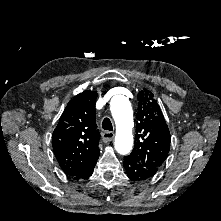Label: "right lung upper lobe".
Instances as JSON below:
<instances>
[{
  "label": "right lung upper lobe",
  "mask_w": 221,
  "mask_h": 221,
  "mask_svg": "<svg viewBox=\"0 0 221 221\" xmlns=\"http://www.w3.org/2000/svg\"><path fill=\"white\" fill-rule=\"evenodd\" d=\"M96 97L88 90L71 99L52 135L57 161L70 178L80 176L99 157Z\"/></svg>",
  "instance_id": "obj_1"
}]
</instances>
